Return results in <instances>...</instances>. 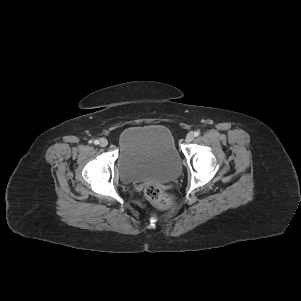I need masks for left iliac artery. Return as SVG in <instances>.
Masks as SVG:
<instances>
[{"label":"left iliac artery","mask_w":301,"mask_h":301,"mask_svg":"<svg viewBox=\"0 0 301 301\" xmlns=\"http://www.w3.org/2000/svg\"><path fill=\"white\" fill-rule=\"evenodd\" d=\"M199 135H200V132H199V131H195V132H194V136H195V137H197V136H199Z\"/></svg>","instance_id":"obj_1"}]
</instances>
